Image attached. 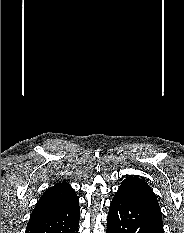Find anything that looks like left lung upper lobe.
Instances as JSON below:
<instances>
[{
  "mask_svg": "<svg viewBox=\"0 0 184 233\" xmlns=\"http://www.w3.org/2000/svg\"><path fill=\"white\" fill-rule=\"evenodd\" d=\"M117 192L124 193L143 205L156 224L163 228L162 214L157 198L144 180L136 176H129L122 182Z\"/></svg>",
  "mask_w": 184,
  "mask_h": 233,
  "instance_id": "obj_1",
  "label": "left lung upper lobe"
}]
</instances>
